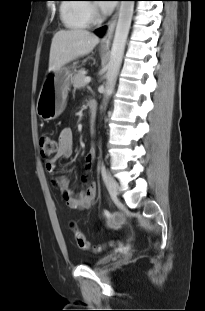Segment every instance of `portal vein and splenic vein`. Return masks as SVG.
<instances>
[{
  "label": "portal vein and splenic vein",
  "instance_id": "18ae733b",
  "mask_svg": "<svg viewBox=\"0 0 205 311\" xmlns=\"http://www.w3.org/2000/svg\"><path fill=\"white\" fill-rule=\"evenodd\" d=\"M85 83H90V81H91V77H85Z\"/></svg>",
  "mask_w": 205,
  "mask_h": 311
}]
</instances>
